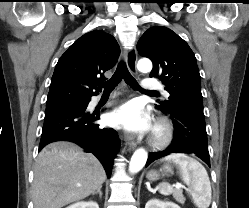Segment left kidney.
I'll use <instances>...</instances> for the list:
<instances>
[{
    "instance_id": "obj_1",
    "label": "left kidney",
    "mask_w": 249,
    "mask_h": 208,
    "mask_svg": "<svg viewBox=\"0 0 249 208\" xmlns=\"http://www.w3.org/2000/svg\"><path fill=\"white\" fill-rule=\"evenodd\" d=\"M145 208H180V206L169 201H160L158 199H151L146 203Z\"/></svg>"
}]
</instances>
